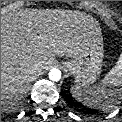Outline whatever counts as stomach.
<instances>
[{
  "label": "stomach",
  "mask_w": 122,
  "mask_h": 122,
  "mask_svg": "<svg viewBox=\"0 0 122 122\" xmlns=\"http://www.w3.org/2000/svg\"><path fill=\"white\" fill-rule=\"evenodd\" d=\"M103 58L102 45L94 43L72 60L63 61L61 66L65 72L73 75L76 87H87L93 84L100 75Z\"/></svg>",
  "instance_id": "1"
}]
</instances>
